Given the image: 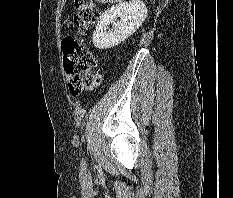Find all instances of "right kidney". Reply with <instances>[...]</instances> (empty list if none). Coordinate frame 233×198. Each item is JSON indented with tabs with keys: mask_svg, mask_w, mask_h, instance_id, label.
<instances>
[{
	"mask_svg": "<svg viewBox=\"0 0 233 198\" xmlns=\"http://www.w3.org/2000/svg\"><path fill=\"white\" fill-rule=\"evenodd\" d=\"M147 17V8L141 0H129L113 5L101 16L93 33V44L98 49L117 46L134 33ZM119 18L118 22L115 20ZM112 24V29L108 25Z\"/></svg>",
	"mask_w": 233,
	"mask_h": 198,
	"instance_id": "right-kidney-1",
	"label": "right kidney"
}]
</instances>
